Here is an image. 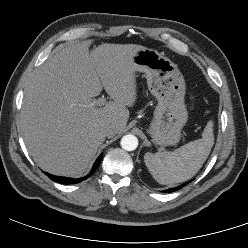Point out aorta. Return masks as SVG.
<instances>
[{"instance_id": "obj_1", "label": "aorta", "mask_w": 248, "mask_h": 248, "mask_svg": "<svg viewBox=\"0 0 248 248\" xmlns=\"http://www.w3.org/2000/svg\"><path fill=\"white\" fill-rule=\"evenodd\" d=\"M121 147L126 151H133L138 146V139L136 136L128 134L121 139Z\"/></svg>"}]
</instances>
